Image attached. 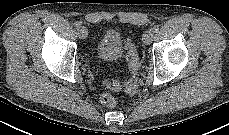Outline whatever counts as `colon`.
Instances as JSON below:
<instances>
[{
  "label": "colon",
  "mask_w": 229,
  "mask_h": 135,
  "mask_svg": "<svg viewBox=\"0 0 229 135\" xmlns=\"http://www.w3.org/2000/svg\"><path fill=\"white\" fill-rule=\"evenodd\" d=\"M125 48L127 51L128 69L130 73H135L139 68V57L136 48L129 39L126 41ZM100 102L106 107L116 106V100L109 92H104L100 95Z\"/></svg>",
  "instance_id": "obj_1"
}]
</instances>
